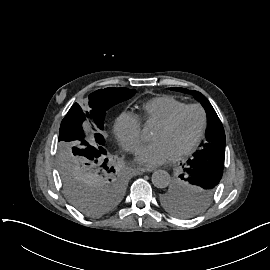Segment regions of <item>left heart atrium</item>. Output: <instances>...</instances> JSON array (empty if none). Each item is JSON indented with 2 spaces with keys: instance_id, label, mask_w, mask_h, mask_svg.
Instances as JSON below:
<instances>
[{
  "instance_id": "39dd6f15",
  "label": "left heart atrium",
  "mask_w": 270,
  "mask_h": 270,
  "mask_svg": "<svg viewBox=\"0 0 270 270\" xmlns=\"http://www.w3.org/2000/svg\"><path fill=\"white\" fill-rule=\"evenodd\" d=\"M176 155L174 148L168 142L155 141L144 146L136 160L143 167L154 168L172 162Z\"/></svg>"
}]
</instances>
